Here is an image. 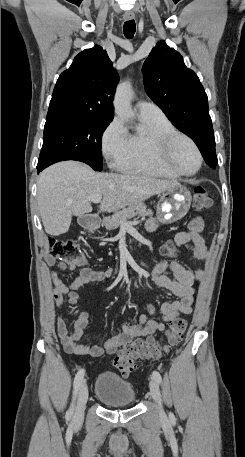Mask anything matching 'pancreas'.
Listing matches in <instances>:
<instances>
[{"instance_id": "obj_1", "label": "pancreas", "mask_w": 245, "mask_h": 457, "mask_svg": "<svg viewBox=\"0 0 245 457\" xmlns=\"http://www.w3.org/2000/svg\"><path fill=\"white\" fill-rule=\"evenodd\" d=\"M152 210L147 208L144 202H135V204H129L127 208H122L118 212H114L112 216H104L102 220L103 226H106L108 231H113L117 229V226H120L122 222H126L127 218H133V216H150Z\"/></svg>"}]
</instances>
